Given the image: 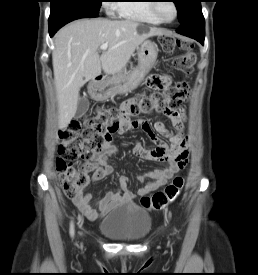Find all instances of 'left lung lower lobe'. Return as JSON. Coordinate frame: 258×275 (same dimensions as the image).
I'll list each match as a JSON object with an SVG mask.
<instances>
[{
	"label": "left lung lower lobe",
	"instance_id": "0a47b994",
	"mask_svg": "<svg viewBox=\"0 0 258 275\" xmlns=\"http://www.w3.org/2000/svg\"><path fill=\"white\" fill-rule=\"evenodd\" d=\"M176 32L193 38L201 44L204 43L205 21L200 2L191 9L188 19L181 24V27L177 29Z\"/></svg>",
	"mask_w": 258,
	"mask_h": 275
}]
</instances>
